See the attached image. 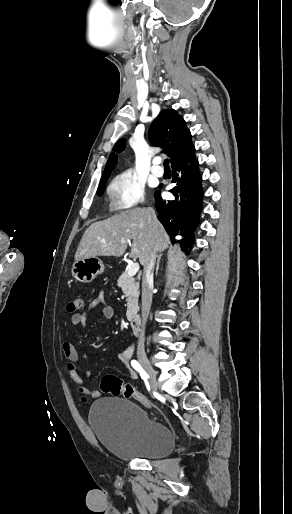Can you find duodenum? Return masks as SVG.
I'll return each mask as SVG.
<instances>
[{"label": "duodenum", "instance_id": "1", "mask_svg": "<svg viewBox=\"0 0 292 514\" xmlns=\"http://www.w3.org/2000/svg\"><path fill=\"white\" fill-rule=\"evenodd\" d=\"M129 326H130L132 333L137 334L140 329V318L137 316L131 317Z\"/></svg>", "mask_w": 292, "mask_h": 514}]
</instances>
